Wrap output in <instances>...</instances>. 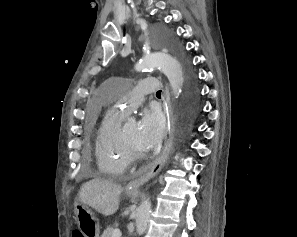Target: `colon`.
I'll return each mask as SVG.
<instances>
[{
  "mask_svg": "<svg viewBox=\"0 0 297 237\" xmlns=\"http://www.w3.org/2000/svg\"><path fill=\"white\" fill-rule=\"evenodd\" d=\"M72 237H84L80 232L75 231L72 235Z\"/></svg>",
  "mask_w": 297,
  "mask_h": 237,
  "instance_id": "obj_1",
  "label": "colon"
}]
</instances>
